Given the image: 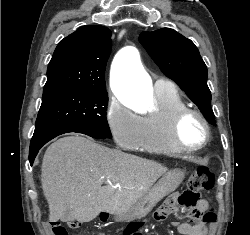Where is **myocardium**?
I'll use <instances>...</instances> for the list:
<instances>
[{"label":"myocardium","instance_id":"f54148a6","mask_svg":"<svg viewBox=\"0 0 250 235\" xmlns=\"http://www.w3.org/2000/svg\"><path fill=\"white\" fill-rule=\"evenodd\" d=\"M189 116H196L202 123L204 128V138L197 146L186 145L180 137V129L183 121ZM211 136L210 125L207 118L202 112L195 108L183 107L174 112L170 121V137L173 144L181 151L184 152H197L202 150L209 142Z\"/></svg>","mask_w":250,"mask_h":235}]
</instances>
